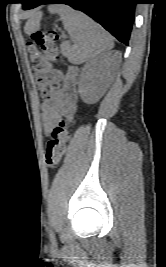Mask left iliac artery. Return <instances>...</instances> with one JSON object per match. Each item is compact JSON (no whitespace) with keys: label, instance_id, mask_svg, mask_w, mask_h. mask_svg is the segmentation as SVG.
<instances>
[{"label":"left iliac artery","instance_id":"left-iliac-artery-1","mask_svg":"<svg viewBox=\"0 0 166 267\" xmlns=\"http://www.w3.org/2000/svg\"><path fill=\"white\" fill-rule=\"evenodd\" d=\"M50 236H51V240L55 241L54 235L52 233L50 234Z\"/></svg>","mask_w":166,"mask_h":267}]
</instances>
